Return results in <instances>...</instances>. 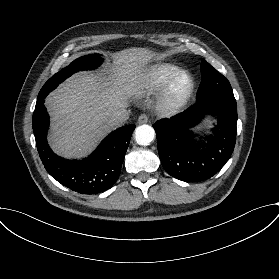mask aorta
I'll return each mask as SVG.
<instances>
[{
    "label": "aorta",
    "instance_id": "aorta-1",
    "mask_svg": "<svg viewBox=\"0 0 279 279\" xmlns=\"http://www.w3.org/2000/svg\"><path fill=\"white\" fill-rule=\"evenodd\" d=\"M155 138V131L149 125H141L135 130V140L139 145H149Z\"/></svg>",
    "mask_w": 279,
    "mask_h": 279
}]
</instances>
